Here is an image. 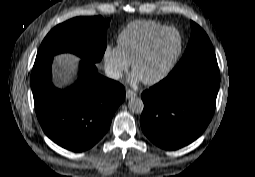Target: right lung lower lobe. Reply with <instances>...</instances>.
Segmentation results:
<instances>
[{"label":"right lung lower lobe","mask_w":255,"mask_h":177,"mask_svg":"<svg viewBox=\"0 0 255 177\" xmlns=\"http://www.w3.org/2000/svg\"><path fill=\"white\" fill-rule=\"evenodd\" d=\"M53 57L35 60L31 88L45 134L71 151H84L107 132L113 114L125 99L124 87L97 73L95 63L83 60L77 82L66 90L51 83Z\"/></svg>","instance_id":"obj_1"}]
</instances>
